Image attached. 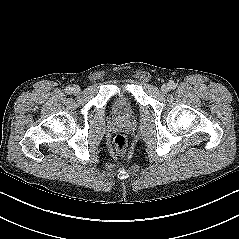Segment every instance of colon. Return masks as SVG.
<instances>
[{"mask_svg": "<svg viewBox=\"0 0 239 239\" xmlns=\"http://www.w3.org/2000/svg\"><path fill=\"white\" fill-rule=\"evenodd\" d=\"M113 144H114V149L117 153L123 154L126 152L128 143L124 135H117L114 138Z\"/></svg>", "mask_w": 239, "mask_h": 239, "instance_id": "5ec220e1", "label": "colon"}]
</instances>
